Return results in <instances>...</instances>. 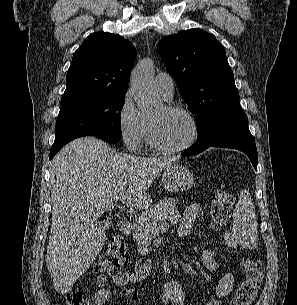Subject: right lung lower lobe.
<instances>
[{
  "label": "right lung lower lobe",
  "mask_w": 297,
  "mask_h": 305,
  "mask_svg": "<svg viewBox=\"0 0 297 305\" xmlns=\"http://www.w3.org/2000/svg\"><path fill=\"white\" fill-rule=\"evenodd\" d=\"M97 138H100L106 142L109 143H117L118 141H120V138H115V137H110V136H103V135H98L96 136ZM62 147H58V148H51L50 151V155H49V159L51 160L55 154L61 149Z\"/></svg>",
  "instance_id": "right-lung-lower-lobe-1"
}]
</instances>
